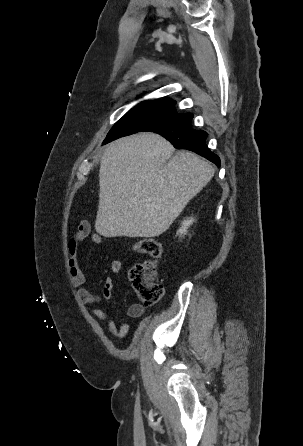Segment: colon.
Wrapping results in <instances>:
<instances>
[{
  "mask_svg": "<svg viewBox=\"0 0 303 446\" xmlns=\"http://www.w3.org/2000/svg\"><path fill=\"white\" fill-rule=\"evenodd\" d=\"M132 251L148 255L152 260L139 263L130 270L131 286L142 303L156 304L164 293L163 287L155 281L156 264L163 253L162 245L153 238H143L133 245Z\"/></svg>",
  "mask_w": 303,
  "mask_h": 446,
  "instance_id": "obj_1",
  "label": "colon"
}]
</instances>
